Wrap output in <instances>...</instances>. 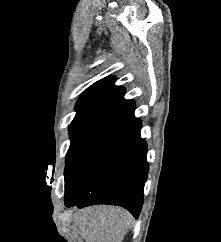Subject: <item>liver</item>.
Masks as SVG:
<instances>
[{
	"mask_svg": "<svg viewBox=\"0 0 221 242\" xmlns=\"http://www.w3.org/2000/svg\"><path fill=\"white\" fill-rule=\"evenodd\" d=\"M130 222L131 215L120 207H88L74 215L73 232L85 242H122Z\"/></svg>",
	"mask_w": 221,
	"mask_h": 242,
	"instance_id": "liver-1",
	"label": "liver"
}]
</instances>
